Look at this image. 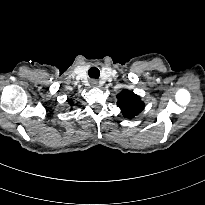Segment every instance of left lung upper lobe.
<instances>
[{"instance_id": "1", "label": "left lung upper lobe", "mask_w": 205, "mask_h": 205, "mask_svg": "<svg viewBox=\"0 0 205 205\" xmlns=\"http://www.w3.org/2000/svg\"><path fill=\"white\" fill-rule=\"evenodd\" d=\"M117 106L126 118H133L144 109V102L132 91L124 89L117 95Z\"/></svg>"}]
</instances>
